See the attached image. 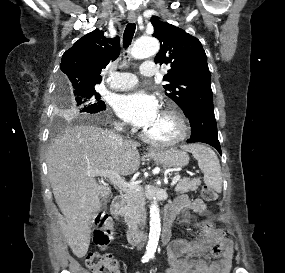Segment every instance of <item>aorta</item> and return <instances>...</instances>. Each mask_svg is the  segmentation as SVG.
Returning a JSON list of instances; mask_svg holds the SVG:
<instances>
[{"label": "aorta", "instance_id": "obj_1", "mask_svg": "<svg viewBox=\"0 0 285 273\" xmlns=\"http://www.w3.org/2000/svg\"><path fill=\"white\" fill-rule=\"evenodd\" d=\"M159 49L160 44L157 39L152 37H142L134 43L131 49V55L135 59H144L156 55ZM160 232V210L157 201L154 199L150 206V232L149 240L146 246L147 255H154L156 252Z\"/></svg>", "mask_w": 285, "mask_h": 273}]
</instances>
